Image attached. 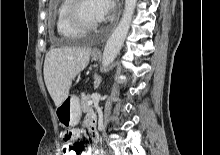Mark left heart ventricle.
Instances as JSON below:
<instances>
[{
	"instance_id": "left-heart-ventricle-1",
	"label": "left heart ventricle",
	"mask_w": 220,
	"mask_h": 155,
	"mask_svg": "<svg viewBox=\"0 0 220 155\" xmlns=\"http://www.w3.org/2000/svg\"><path fill=\"white\" fill-rule=\"evenodd\" d=\"M82 16L89 22H98V18L94 11L93 0H83L81 7Z\"/></svg>"
}]
</instances>
